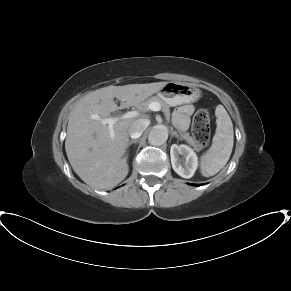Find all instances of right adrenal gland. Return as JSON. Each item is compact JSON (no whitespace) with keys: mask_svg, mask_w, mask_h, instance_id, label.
<instances>
[{"mask_svg":"<svg viewBox=\"0 0 291 291\" xmlns=\"http://www.w3.org/2000/svg\"><path fill=\"white\" fill-rule=\"evenodd\" d=\"M137 142H138L137 139L136 140H130L129 143H128V146H131L132 144L137 143Z\"/></svg>","mask_w":291,"mask_h":291,"instance_id":"obj_1","label":"right adrenal gland"}]
</instances>
